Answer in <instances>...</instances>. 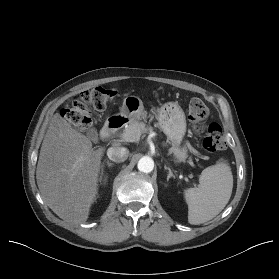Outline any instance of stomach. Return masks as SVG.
<instances>
[{
  "label": "stomach",
  "mask_w": 279,
  "mask_h": 279,
  "mask_svg": "<svg viewBox=\"0 0 279 279\" xmlns=\"http://www.w3.org/2000/svg\"><path fill=\"white\" fill-rule=\"evenodd\" d=\"M143 103L136 96H127L123 100L120 116L128 123L140 119L143 115ZM158 124L172 143V152L178 161H183L187 153L180 147L186 132V119L182 108L176 102H167L158 110Z\"/></svg>",
  "instance_id": "stomach-1"
}]
</instances>
